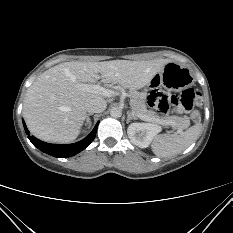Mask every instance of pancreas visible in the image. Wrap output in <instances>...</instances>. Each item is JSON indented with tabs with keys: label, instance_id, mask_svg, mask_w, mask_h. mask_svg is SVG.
Wrapping results in <instances>:
<instances>
[{
	"label": "pancreas",
	"instance_id": "1",
	"mask_svg": "<svg viewBox=\"0 0 233 233\" xmlns=\"http://www.w3.org/2000/svg\"><path fill=\"white\" fill-rule=\"evenodd\" d=\"M129 95L132 111L137 118L141 119L140 116H143L146 121L156 122L159 124L170 122L171 125L175 126L179 130L185 129L189 125V118L186 116L183 118L170 117L163 119L156 115L155 112L148 110L145 104V95L143 93L130 90Z\"/></svg>",
	"mask_w": 233,
	"mask_h": 233
}]
</instances>
